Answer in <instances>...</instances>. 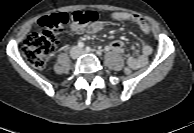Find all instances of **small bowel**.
<instances>
[{"instance_id": "1", "label": "small bowel", "mask_w": 194, "mask_h": 133, "mask_svg": "<svg viewBox=\"0 0 194 133\" xmlns=\"http://www.w3.org/2000/svg\"><path fill=\"white\" fill-rule=\"evenodd\" d=\"M114 21L128 22L136 25L143 34H149V24L139 15L126 13V12H113L110 15ZM103 28L102 23H96L91 25L88 29L90 33H97ZM109 50L116 53H122L124 51V44L120 40L113 41L109 46ZM152 53V46L148 42H144L141 46V51L138 56H128L127 64L133 69H138L145 66L148 62L149 56Z\"/></svg>"}]
</instances>
